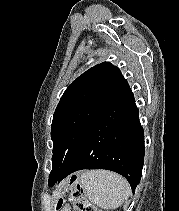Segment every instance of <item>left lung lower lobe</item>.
Instances as JSON below:
<instances>
[{"mask_svg":"<svg viewBox=\"0 0 179 211\" xmlns=\"http://www.w3.org/2000/svg\"><path fill=\"white\" fill-rule=\"evenodd\" d=\"M128 85L100 115L81 150L66 170L49 178V186L82 169H107L124 176L133 193L144 164V131Z\"/></svg>","mask_w":179,"mask_h":211,"instance_id":"left-lung-lower-lobe-1","label":"left lung lower lobe"}]
</instances>
